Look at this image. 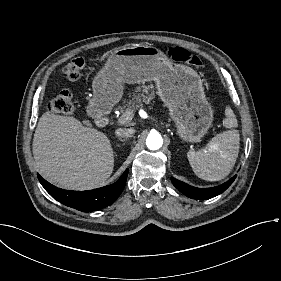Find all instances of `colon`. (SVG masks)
<instances>
[{"mask_svg":"<svg viewBox=\"0 0 281 281\" xmlns=\"http://www.w3.org/2000/svg\"><path fill=\"white\" fill-rule=\"evenodd\" d=\"M168 55L171 59L179 62L188 63L194 67L201 68V60L190 54L181 47H170ZM85 67V59L83 57H75L64 68L63 72L67 79L77 80L83 74ZM49 110L52 114H71L74 110V99L69 91H61L49 103Z\"/></svg>","mask_w":281,"mask_h":281,"instance_id":"5ec220e1","label":"colon"}]
</instances>
